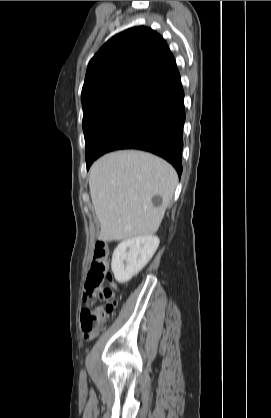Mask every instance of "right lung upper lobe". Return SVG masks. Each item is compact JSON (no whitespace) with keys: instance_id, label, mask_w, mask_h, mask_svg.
Listing matches in <instances>:
<instances>
[{"instance_id":"cb5924a9","label":"right lung upper lobe","mask_w":271,"mask_h":418,"mask_svg":"<svg viewBox=\"0 0 271 418\" xmlns=\"http://www.w3.org/2000/svg\"><path fill=\"white\" fill-rule=\"evenodd\" d=\"M181 82L166 41L152 29H127L107 41L88 64L83 108L119 95L154 101Z\"/></svg>"}]
</instances>
